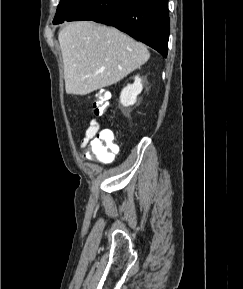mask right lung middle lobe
<instances>
[{
  "label": "right lung middle lobe",
  "mask_w": 243,
  "mask_h": 289,
  "mask_svg": "<svg viewBox=\"0 0 243 289\" xmlns=\"http://www.w3.org/2000/svg\"><path fill=\"white\" fill-rule=\"evenodd\" d=\"M83 0H60L53 24L66 20Z\"/></svg>",
  "instance_id": "right-lung-middle-lobe-1"
}]
</instances>
